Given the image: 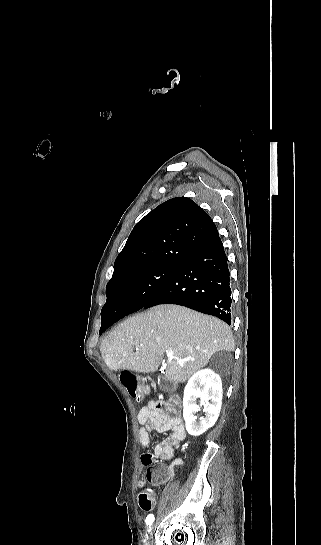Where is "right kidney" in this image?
Returning <instances> with one entry per match:
<instances>
[{"instance_id": "1", "label": "right kidney", "mask_w": 321, "mask_h": 545, "mask_svg": "<svg viewBox=\"0 0 321 545\" xmlns=\"http://www.w3.org/2000/svg\"><path fill=\"white\" fill-rule=\"evenodd\" d=\"M199 397L203 399L201 405L205 411V417H200L197 421L196 413L201 411L199 405H196ZM221 405L222 381L219 375L211 369H202L195 373L184 389L183 417L187 433L193 437H199L213 427L219 417Z\"/></svg>"}]
</instances>
